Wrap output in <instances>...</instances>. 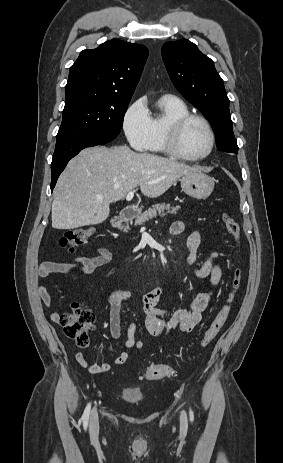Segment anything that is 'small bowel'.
<instances>
[{
    "mask_svg": "<svg viewBox=\"0 0 283 463\" xmlns=\"http://www.w3.org/2000/svg\"><path fill=\"white\" fill-rule=\"evenodd\" d=\"M185 231V224L182 221H175L170 227V233L173 236H179ZM201 244V235L198 231H192L186 241L188 248L187 264L192 269L193 275L198 279L208 280V289L199 292L189 303L187 308L176 309L169 314L168 311L158 306L163 290L161 287H155L146 292L142 297V306L146 315L145 326L150 335L155 337H164L174 331L181 333L191 332L200 322L206 311L215 288L219 285L222 277V271L218 264L215 263L216 253H211L201 264H197L198 249ZM112 259L111 252L104 247L97 250V255L92 257L77 256L70 263L47 261L41 264L38 269L40 279H45L55 273H78L81 275L92 274L97 268L108 264ZM39 296L42 302L50 307L52 298L45 283H41L38 288ZM133 298V293L125 289L114 290L107 299L110 317L109 330L114 339L122 337V302ZM60 314L52 313V319L58 321ZM137 327L130 324L127 329L125 347L112 362H102L99 364L91 363L83 352H78L75 356L79 365L92 374L107 372L112 365H121L129 357V349L143 347L141 339H136Z\"/></svg>",
    "mask_w": 283,
    "mask_h": 463,
    "instance_id": "1",
    "label": "small bowel"
}]
</instances>
